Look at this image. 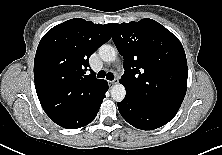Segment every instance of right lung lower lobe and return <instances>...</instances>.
Segmentation results:
<instances>
[{
	"mask_svg": "<svg viewBox=\"0 0 222 155\" xmlns=\"http://www.w3.org/2000/svg\"><path fill=\"white\" fill-rule=\"evenodd\" d=\"M108 90L106 81L89 96L76 101L64 112H52L50 108L43 106L46 114L59 126L67 129H77L89 124L96 117L105 93Z\"/></svg>",
	"mask_w": 222,
	"mask_h": 155,
	"instance_id": "98d812e1",
	"label": "right lung lower lobe"
}]
</instances>
